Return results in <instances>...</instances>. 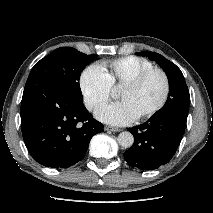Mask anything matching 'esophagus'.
<instances>
[{
    "mask_svg": "<svg viewBox=\"0 0 213 213\" xmlns=\"http://www.w3.org/2000/svg\"><path fill=\"white\" fill-rule=\"evenodd\" d=\"M105 131H112V132H120L121 130L119 128L113 127V126H105Z\"/></svg>",
    "mask_w": 213,
    "mask_h": 213,
    "instance_id": "esophagus-1",
    "label": "esophagus"
}]
</instances>
